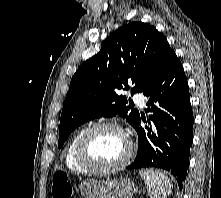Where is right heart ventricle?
<instances>
[{
  "label": "right heart ventricle",
  "mask_w": 221,
  "mask_h": 198,
  "mask_svg": "<svg viewBox=\"0 0 221 198\" xmlns=\"http://www.w3.org/2000/svg\"><path fill=\"white\" fill-rule=\"evenodd\" d=\"M84 129L78 130L68 141L65 152H64V162L66 167L72 172L76 173H88L89 171L80 165L76 158V144L79 136Z\"/></svg>",
  "instance_id": "1"
}]
</instances>
